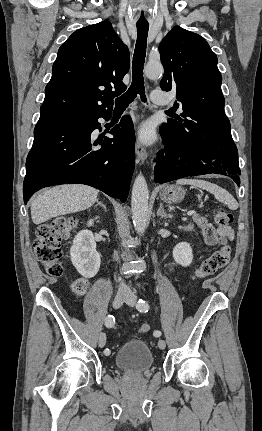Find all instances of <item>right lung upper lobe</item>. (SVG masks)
Here are the masks:
<instances>
[{
    "instance_id": "1",
    "label": "right lung upper lobe",
    "mask_w": 262,
    "mask_h": 431,
    "mask_svg": "<svg viewBox=\"0 0 262 431\" xmlns=\"http://www.w3.org/2000/svg\"><path fill=\"white\" fill-rule=\"evenodd\" d=\"M129 66V50L110 22L75 31L58 50L40 117L111 113Z\"/></svg>"
}]
</instances>
